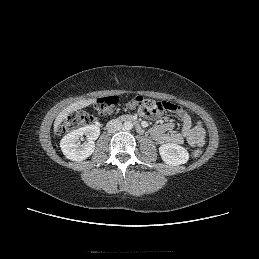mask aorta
<instances>
[{
	"label": "aorta",
	"mask_w": 259,
	"mask_h": 259,
	"mask_svg": "<svg viewBox=\"0 0 259 259\" xmlns=\"http://www.w3.org/2000/svg\"><path fill=\"white\" fill-rule=\"evenodd\" d=\"M133 128V123L131 121H126L124 123V129L125 130H131Z\"/></svg>",
	"instance_id": "762f6f07"
}]
</instances>
